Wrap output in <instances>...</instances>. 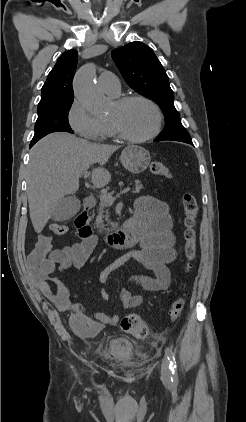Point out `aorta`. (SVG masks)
I'll use <instances>...</instances> for the list:
<instances>
[{
    "mask_svg": "<svg viewBox=\"0 0 246 422\" xmlns=\"http://www.w3.org/2000/svg\"><path fill=\"white\" fill-rule=\"evenodd\" d=\"M96 67L94 64H87L80 68L73 81L74 95L90 114L94 116L103 115L107 111L103 95L95 83Z\"/></svg>",
    "mask_w": 246,
    "mask_h": 422,
    "instance_id": "762f6f07",
    "label": "aorta"
}]
</instances>
